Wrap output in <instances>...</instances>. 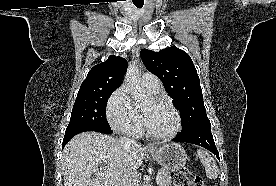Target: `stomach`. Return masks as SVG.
Returning a JSON list of instances; mask_svg holds the SVG:
<instances>
[{"label": "stomach", "instance_id": "obj_1", "mask_svg": "<svg viewBox=\"0 0 276 186\" xmlns=\"http://www.w3.org/2000/svg\"><path fill=\"white\" fill-rule=\"evenodd\" d=\"M148 152L167 171H178L186 164L185 150L177 143H168Z\"/></svg>", "mask_w": 276, "mask_h": 186}]
</instances>
